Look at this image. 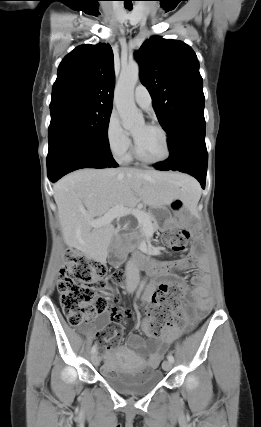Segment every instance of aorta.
Here are the masks:
<instances>
[{
    "instance_id": "obj_1",
    "label": "aorta",
    "mask_w": 261,
    "mask_h": 427,
    "mask_svg": "<svg viewBox=\"0 0 261 427\" xmlns=\"http://www.w3.org/2000/svg\"><path fill=\"white\" fill-rule=\"evenodd\" d=\"M138 79L139 65L136 62L130 63L122 68L115 90L116 108L122 125L127 130H133L145 123L134 101V88Z\"/></svg>"
}]
</instances>
